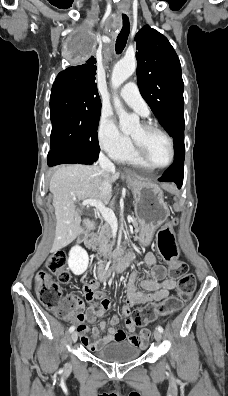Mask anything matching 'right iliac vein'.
<instances>
[{"label":"right iliac vein","mask_w":228,"mask_h":396,"mask_svg":"<svg viewBox=\"0 0 228 396\" xmlns=\"http://www.w3.org/2000/svg\"><path fill=\"white\" fill-rule=\"evenodd\" d=\"M78 339V333L76 331L72 332L71 334V341L75 343Z\"/></svg>","instance_id":"1"}]
</instances>
